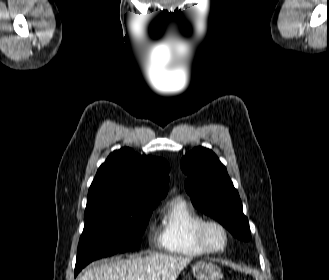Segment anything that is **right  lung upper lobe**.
I'll list each match as a JSON object with an SVG mask.
<instances>
[{"mask_svg":"<svg viewBox=\"0 0 329 280\" xmlns=\"http://www.w3.org/2000/svg\"><path fill=\"white\" fill-rule=\"evenodd\" d=\"M169 170L163 158L141 156L129 148L114 151L89 188L85 214L114 200H161L168 192Z\"/></svg>","mask_w":329,"mask_h":280,"instance_id":"1","label":"right lung upper lobe"}]
</instances>
